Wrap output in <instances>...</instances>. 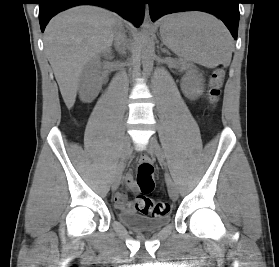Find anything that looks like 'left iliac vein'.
<instances>
[{"label":"left iliac vein","mask_w":279,"mask_h":267,"mask_svg":"<svg viewBox=\"0 0 279 267\" xmlns=\"http://www.w3.org/2000/svg\"><path fill=\"white\" fill-rule=\"evenodd\" d=\"M148 150L152 155H155L156 157H160L162 152H161V147L155 137H150L148 141ZM167 186H168V193L170 198L173 201H176L178 199V190L174 182L168 178L167 179Z\"/></svg>","instance_id":"4c4485c4"}]
</instances>
